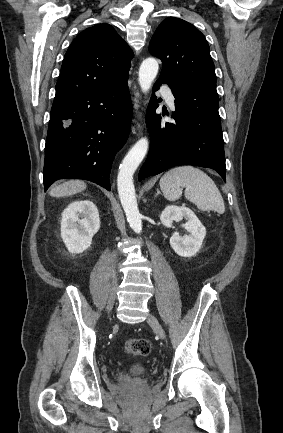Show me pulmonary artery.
Wrapping results in <instances>:
<instances>
[{"label": "pulmonary artery", "instance_id": "pulmonary-artery-1", "mask_svg": "<svg viewBox=\"0 0 283 433\" xmlns=\"http://www.w3.org/2000/svg\"><path fill=\"white\" fill-rule=\"evenodd\" d=\"M158 94L164 96L165 102L171 110H175L176 99L171 93L170 87H159Z\"/></svg>", "mask_w": 283, "mask_h": 433}]
</instances>
